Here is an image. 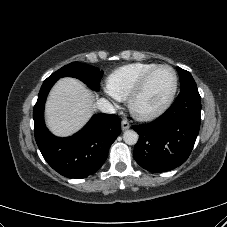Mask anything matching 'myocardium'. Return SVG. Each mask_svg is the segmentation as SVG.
Wrapping results in <instances>:
<instances>
[{"mask_svg": "<svg viewBox=\"0 0 227 227\" xmlns=\"http://www.w3.org/2000/svg\"><path fill=\"white\" fill-rule=\"evenodd\" d=\"M162 68H168L170 69L175 77V82H174V86L173 89L170 93V95L168 96V98L164 101V103L159 106L157 109L152 110V111H148V112H143L140 111L137 106V100L140 97V95L143 93L144 89L146 88L149 80L151 79V77L160 69ZM178 87H179V76L177 71L175 70V68H173L172 66L168 65V64H159L157 66H155L154 68H152L151 70H149L148 72H146L141 79L138 81V83L136 84V86L134 87V89L132 90V92L130 93L129 97H128V107L129 110L131 112V114L137 118L138 120L141 121H151L154 120L158 117H160L162 114H164L169 107L172 105L175 96L177 94L178 91Z\"/></svg>", "mask_w": 227, "mask_h": 227, "instance_id": "myocardium-1", "label": "myocardium"}]
</instances>
